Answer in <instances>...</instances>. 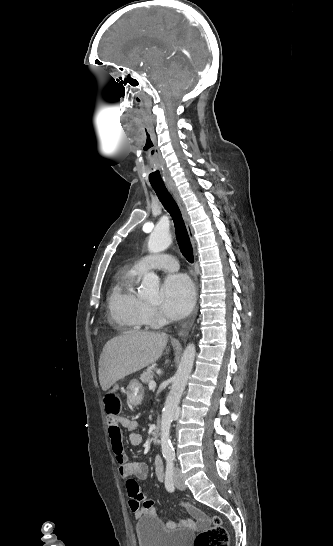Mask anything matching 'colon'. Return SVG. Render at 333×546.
Masks as SVG:
<instances>
[{"mask_svg":"<svg viewBox=\"0 0 333 546\" xmlns=\"http://www.w3.org/2000/svg\"><path fill=\"white\" fill-rule=\"evenodd\" d=\"M104 401L108 417L118 418L121 411L119 395L109 393L106 395ZM228 544V533L218 517H214L211 525L198 533L194 541V546H228Z\"/></svg>","mask_w":333,"mask_h":546,"instance_id":"obj_1","label":"colon"}]
</instances>
